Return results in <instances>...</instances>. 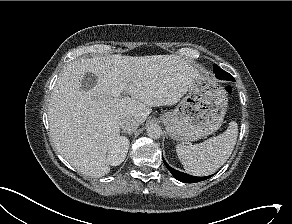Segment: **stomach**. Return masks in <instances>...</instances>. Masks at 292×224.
<instances>
[{
    "instance_id": "0dacf381",
    "label": "stomach",
    "mask_w": 292,
    "mask_h": 224,
    "mask_svg": "<svg viewBox=\"0 0 292 224\" xmlns=\"http://www.w3.org/2000/svg\"><path fill=\"white\" fill-rule=\"evenodd\" d=\"M228 105L225 90L208 74L199 72L177 107L162 116L168 135L177 141H195L216 132Z\"/></svg>"
}]
</instances>
